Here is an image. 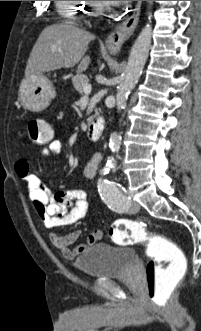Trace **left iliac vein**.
<instances>
[{
    "instance_id": "1",
    "label": "left iliac vein",
    "mask_w": 201,
    "mask_h": 331,
    "mask_svg": "<svg viewBox=\"0 0 201 331\" xmlns=\"http://www.w3.org/2000/svg\"><path fill=\"white\" fill-rule=\"evenodd\" d=\"M139 209H140V205L137 202L132 201V203H131V210L133 212H137Z\"/></svg>"
}]
</instances>
